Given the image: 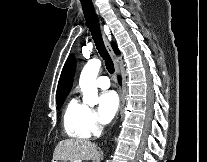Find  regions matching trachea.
Segmentation results:
<instances>
[{"instance_id":"obj_1","label":"trachea","mask_w":207,"mask_h":162,"mask_svg":"<svg viewBox=\"0 0 207 162\" xmlns=\"http://www.w3.org/2000/svg\"><path fill=\"white\" fill-rule=\"evenodd\" d=\"M80 1H81L82 9L84 12V16H85L88 28L92 34L98 53L104 59L107 70L111 74H113L114 64L104 45L102 34L100 31L99 22L95 14L92 1L91 0H80Z\"/></svg>"}]
</instances>
